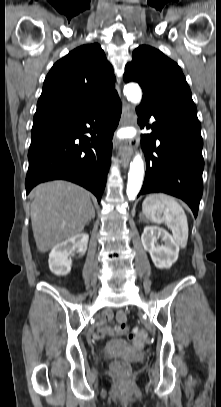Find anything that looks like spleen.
Returning a JSON list of instances; mask_svg holds the SVG:
<instances>
[{"mask_svg": "<svg viewBox=\"0 0 221 407\" xmlns=\"http://www.w3.org/2000/svg\"><path fill=\"white\" fill-rule=\"evenodd\" d=\"M142 211L151 222L165 223L171 230L176 243L186 247L188 241V222L180 204L163 193L148 195L142 203Z\"/></svg>", "mask_w": 221, "mask_h": 407, "instance_id": "spleen-1", "label": "spleen"}]
</instances>
